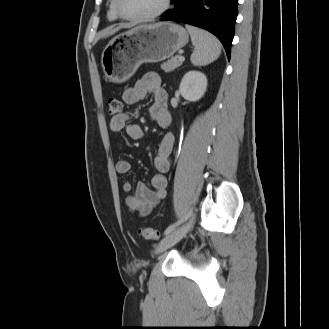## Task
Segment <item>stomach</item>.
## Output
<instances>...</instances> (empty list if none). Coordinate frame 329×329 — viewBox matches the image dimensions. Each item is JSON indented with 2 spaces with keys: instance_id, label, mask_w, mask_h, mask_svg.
Segmentation results:
<instances>
[{
  "instance_id": "obj_1",
  "label": "stomach",
  "mask_w": 329,
  "mask_h": 329,
  "mask_svg": "<svg viewBox=\"0 0 329 329\" xmlns=\"http://www.w3.org/2000/svg\"><path fill=\"white\" fill-rule=\"evenodd\" d=\"M187 42L188 33L175 23L140 25L109 41L102 52L101 65L109 81L122 83L141 64L168 59Z\"/></svg>"
}]
</instances>
